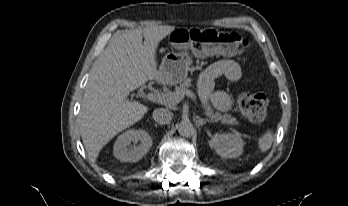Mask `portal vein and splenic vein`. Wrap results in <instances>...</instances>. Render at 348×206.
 Instances as JSON below:
<instances>
[{
	"label": "portal vein and splenic vein",
	"instance_id": "1",
	"mask_svg": "<svg viewBox=\"0 0 348 206\" xmlns=\"http://www.w3.org/2000/svg\"><path fill=\"white\" fill-rule=\"evenodd\" d=\"M185 95L196 102V96L191 90H186L184 92H168L165 94H151L149 97L159 103L175 105L178 104Z\"/></svg>",
	"mask_w": 348,
	"mask_h": 206
}]
</instances>
